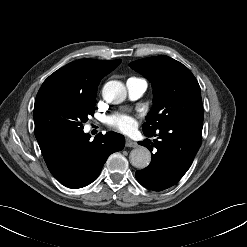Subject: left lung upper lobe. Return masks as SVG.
<instances>
[{
  "instance_id": "1",
  "label": "left lung upper lobe",
  "mask_w": 247,
  "mask_h": 247,
  "mask_svg": "<svg viewBox=\"0 0 247 247\" xmlns=\"http://www.w3.org/2000/svg\"><path fill=\"white\" fill-rule=\"evenodd\" d=\"M129 66L153 86V107L143 124L144 133L179 120L203 123L200 86L186 66L165 55L133 61Z\"/></svg>"
}]
</instances>
